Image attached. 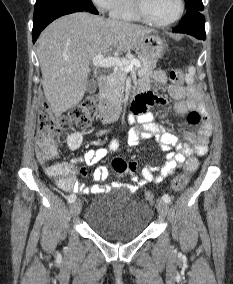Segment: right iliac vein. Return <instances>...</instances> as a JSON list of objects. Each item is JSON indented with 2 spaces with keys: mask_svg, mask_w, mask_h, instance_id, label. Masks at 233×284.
I'll list each match as a JSON object with an SVG mask.
<instances>
[{
  "mask_svg": "<svg viewBox=\"0 0 233 284\" xmlns=\"http://www.w3.org/2000/svg\"><path fill=\"white\" fill-rule=\"evenodd\" d=\"M81 206H82V203L80 200H76L75 202H73L70 206L71 214L73 216L78 215L81 211Z\"/></svg>",
  "mask_w": 233,
  "mask_h": 284,
  "instance_id": "63e3f726",
  "label": "right iliac vein"
}]
</instances>
